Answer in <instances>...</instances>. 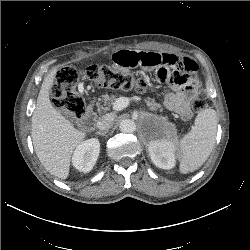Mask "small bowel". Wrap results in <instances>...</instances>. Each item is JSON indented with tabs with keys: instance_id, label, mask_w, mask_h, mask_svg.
I'll use <instances>...</instances> for the list:
<instances>
[{
	"instance_id": "1",
	"label": "small bowel",
	"mask_w": 250,
	"mask_h": 250,
	"mask_svg": "<svg viewBox=\"0 0 250 250\" xmlns=\"http://www.w3.org/2000/svg\"><path fill=\"white\" fill-rule=\"evenodd\" d=\"M113 61L121 68L154 69L158 82L172 88L165 96L166 107L182 119L191 116L190 101L201 85L198 67L193 60L170 53L121 50L113 54Z\"/></svg>"
}]
</instances>
